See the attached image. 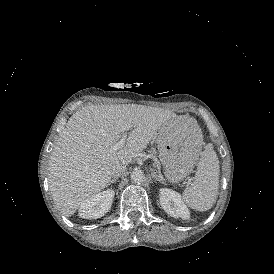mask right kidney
<instances>
[{"label": "right kidney", "mask_w": 274, "mask_h": 274, "mask_svg": "<svg viewBox=\"0 0 274 274\" xmlns=\"http://www.w3.org/2000/svg\"><path fill=\"white\" fill-rule=\"evenodd\" d=\"M115 192L106 190L98 194H93L85 201L81 202L78 214L84 219H98L103 217L111 208Z\"/></svg>", "instance_id": "ca27d5eb"}]
</instances>
